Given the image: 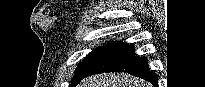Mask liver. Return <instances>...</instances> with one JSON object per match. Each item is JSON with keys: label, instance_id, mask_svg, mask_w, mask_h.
Returning a JSON list of instances; mask_svg holds the SVG:
<instances>
[{"label": "liver", "instance_id": "6515ba94", "mask_svg": "<svg viewBox=\"0 0 205 87\" xmlns=\"http://www.w3.org/2000/svg\"><path fill=\"white\" fill-rule=\"evenodd\" d=\"M77 87H152V85L129 74L104 73L83 79Z\"/></svg>", "mask_w": 205, "mask_h": 87}]
</instances>
